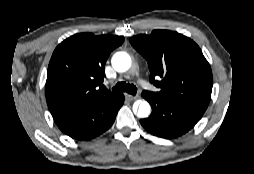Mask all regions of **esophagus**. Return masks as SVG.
Wrapping results in <instances>:
<instances>
[{
  "label": "esophagus",
  "instance_id": "1",
  "mask_svg": "<svg viewBox=\"0 0 254 174\" xmlns=\"http://www.w3.org/2000/svg\"><path fill=\"white\" fill-rule=\"evenodd\" d=\"M126 99L128 101H133V100L138 99V96H133V95H130V94H126Z\"/></svg>",
  "mask_w": 254,
  "mask_h": 174
}]
</instances>
